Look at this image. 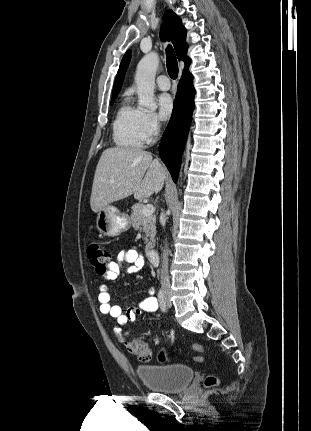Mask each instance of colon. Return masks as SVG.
<instances>
[{
    "label": "colon",
    "mask_w": 311,
    "mask_h": 431,
    "mask_svg": "<svg viewBox=\"0 0 311 431\" xmlns=\"http://www.w3.org/2000/svg\"><path fill=\"white\" fill-rule=\"evenodd\" d=\"M87 256L94 270L100 275H105L108 263L111 259L109 251L98 243H92L87 248ZM125 347L129 353L137 356L142 361H148L152 357V352L148 343L141 336L127 340L125 342ZM191 348L199 353L206 351V348L200 344H193ZM166 356L167 347L164 346L160 351L159 358L160 360H165ZM193 359L197 363L203 362L202 356H195ZM217 383L218 380L213 375L208 376L205 380L206 387L215 386Z\"/></svg>",
    "instance_id": "1"
}]
</instances>
